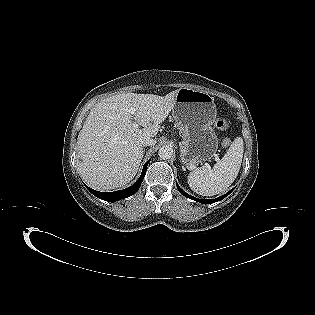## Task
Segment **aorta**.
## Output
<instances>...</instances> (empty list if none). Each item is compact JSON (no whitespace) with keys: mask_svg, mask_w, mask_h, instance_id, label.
<instances>
[{"mask_svg":"<svg viewBox=\"0 0 315 315\" xmlns=\"http://www.w3.org/2000/svg\"><path fill=\"white\" fill-rule=\"evenodd\" d=\"M158 155L163 160L169 159L173 155V148L170 146H163L159 149Z\"/></svg>","mask_w":315,"mask_h":315,"instance_id":"aorta-1","label":"aorta"}]
</instances>
